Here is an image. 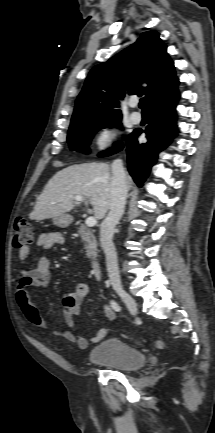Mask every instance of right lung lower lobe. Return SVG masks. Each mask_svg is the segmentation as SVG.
Returning <instances> with one entry per match:
<instances>
[{"label": "right lung lower lobe", "instance_id": "98d812e1", "mask_svg": "<svg viewBox=\"0 0 215 433\" xmlns=\"http://www.w3.org/2000/svg\"><path fill=\"white\" fill-rule=\"evenodd\" d=\"M177 85L148 104L152 119L145 130L147 143H138L137 137L142 133L139 129L126 141L128 171L139 187L143 186L156 163L158 153L168 146L177 132L174 111Z\"/></svg>", "mask_w": 215, "mask_h": 433}]
</instances>
